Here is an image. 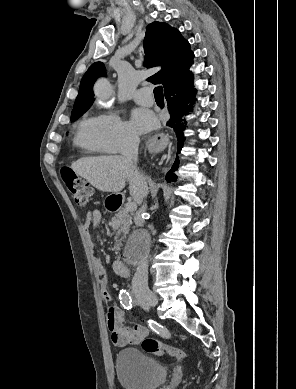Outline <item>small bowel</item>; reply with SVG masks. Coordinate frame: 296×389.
I'll return each instance as SVG.
<instances>
[{
  "mask_svg": "<svg viewBox=\"0 0 296 389\" xmlns=\"http://www.w3.org/2000/svg\"><path fill=\"white\" fill-rule=\"evenodd\" d=\"M99 210L89 211L84 221L85 230L89 233L90 228L95 229L101 221ZM99 272L103 274V267L98 263ZM105 300L111 302L112 296L104 289ZM107 327L111 333V340L114 345L124 347L126 345L139 344L147 335L148 329L144 325L135 324L133 326L124 325V315L116 304H110L107 309Z\"/></svg>",
  "mask_w": 296,
  "mask_h": 389,
  "instance_id": "1",
  "label": "small bowel"
}]
</instances>
